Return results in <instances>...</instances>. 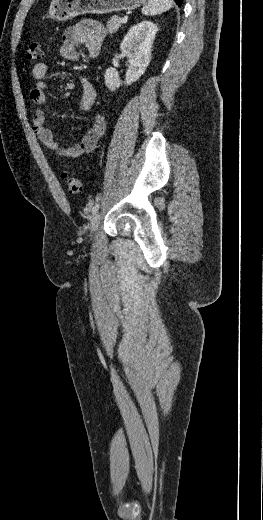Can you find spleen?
Segmentation results:
<instances>
[{"label": "spleen", "mask_w": 263, "mask_h": 520, "mask_svg": "<svg viewBox=\"0 0 263 520\" xmlns=\"http://www.w3.org/2000/svg\"><path fill=\"white\" fill-rule=\"evenodd\" d=\"M172 6L173 0H148V4L142 8V14L154 16L168 11Z\"/></svg>", "instance_id": "1"}]
</instances>
